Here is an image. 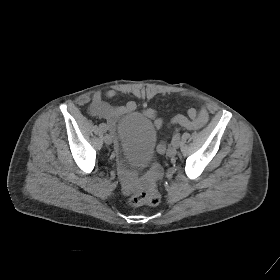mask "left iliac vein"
<instances>
[{
	"label": "left iliac vein",
	"mask_w": 280,
	"mask_h": 280,
	"mask_svg": "<svg viewBox=\"0 0 280 280\" xmlns=\"http://www.w3.org/2000/svg\"><path fill=\"white\" fill-rule=\"evenodd\" d=\"M176 153H177L176 148L173 147V146H171V147L168 148L166 154H167V156H169V157H174V156L176 155Z\"/></svg>",
	"instance_id": "1"
}]
</instances>
